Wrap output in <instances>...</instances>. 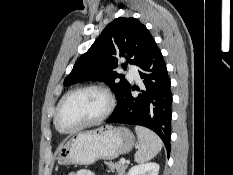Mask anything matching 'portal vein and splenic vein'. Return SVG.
I'll use <instances>...</instances> for the list:
<instances>
[{"mask_svg": "<svg viewBox=\"0 0 233 175\" xmlns=\"http://www.w3.org/2000/svg\"><path fill=\"white\" fill-rule=\"evenodd\" d=\"M120 163L121 164H125L126 163V160L124 158L120 159Z\"/></svg>", "mask_w": 233, "mask_h": 175, "instance_id": "18ae733b", "label": "portal vein and splenic vein"}]
</instances>
